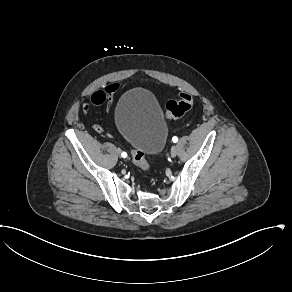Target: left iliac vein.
Wrapping results in <instances>:
<instances>
[{
	"label": "left iliac vein",
	"mask_w": 292,
	"mask_h": 292,
	"mask_svg": "<svg viewBox=\"0 0 292 292\" xmlns=\"http://www.w3.org/2000/svg\"><path fill=\"white\" fill-rule=\"evenodd\" d=\"M177 153H178V148L176 146H173L171 148V153H170L171 157H176Z\"/></svg>",
	"instance_id": "obj_1"
}]
</instances>
